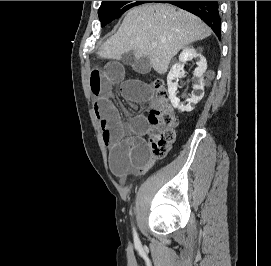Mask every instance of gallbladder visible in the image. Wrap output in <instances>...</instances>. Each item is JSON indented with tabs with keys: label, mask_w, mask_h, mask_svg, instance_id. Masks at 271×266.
<instances>
[{
	"label": "gallbladder",
	"mask_w": 271,
	"mask_h": 266,
	"mask_svg": "<svg viewBox=\"0 0 271 266\" xmlns=\"http://www.w3.org/2000/svg\"><path fill=\"white\" fill-rule=\"evenodd\" d=\"M121 61L125 65L132 66L133 70L140 74H147L151 71V64L148 57L136 58L133 50L122 55Z\"/></svg>",
	"instance_id": "bac80fb5"
}]
</instances>
